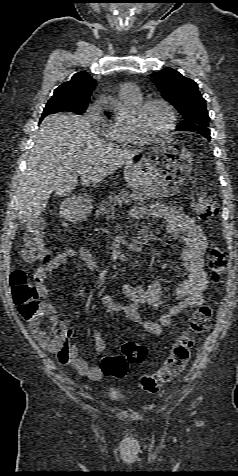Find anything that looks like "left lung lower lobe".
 <instances>
[{"instance_id":"left-lung-lower-lobe-1","label":"left lung lower lobe","mask_w":238,"mask_h":476,"mask_svg":"<svg viewBox=\"0 0 238 476\" xmlns=\"http://www.w3.org/2000/svg\"><path fill=\"white\" fill-rule=\"evenodd\" d=\"M201 131H198V132H201L203 134V136H205L206 138H208V140H210L211 136H210V131H206V130H203V129H200Z\"/></svg>"}]
</instances>
